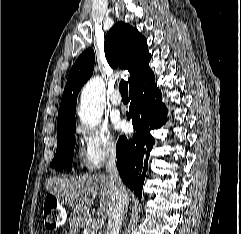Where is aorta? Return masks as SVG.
<instances>
[{"label": "aorta", "mask_w": 241, "mask_h": 234, "mask_svg": "<svg viewBox=\"0 0 241 234\" xmlns=\"http://www.w3.org/2000/svg\"><path fill=\"white\" fill-rule=\"evenodd\" d=\"M105 101V84L100 77L90 79L81 93L79 117L80 120L95 127L101 122L103 103Z\"/></svg>", "instance_id": "obj_1"}]
</instances>
